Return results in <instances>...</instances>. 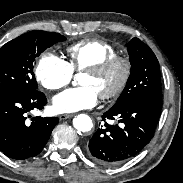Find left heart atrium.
Returning <instances> with one entry per match:
<instances>
[{
	"mask_svg": "<svg viewBox=\"0 0 183 183\" xmlns=\"http://www.w3.org/2000/svg\"><path fill=\"white\" fill-rule=\"evenodd\" d=\"M99 94L91 86H82L65 90L53 98V108L58 113H72L92 108Z\"/></svg>",
	"mask_w": 183,
	"mask_h": 183,
	"instance_id": "39dd6f15",
	"label": "left heart atrium"
}]
</instances>
